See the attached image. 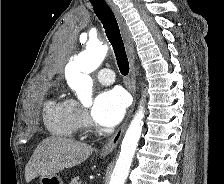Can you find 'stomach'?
Here are the masks:
<instances>
[{"label":"stomach","mask_w":224,"mask_h":184,"mask_svg":"<svg viewBox=\"0 0 224 184\" xmlns=\"http://www.w3.org/2000/svg\"><path fill=\"white\" fill-rule=\"evenodd\" d=\"M40 184H64L62 178L59 175L45 176L41 175L39 178Z\"/></svg>","instance_id":"1"}]
</instances>
